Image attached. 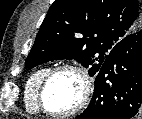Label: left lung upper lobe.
Instances as JSON below:
<instances>
[{
  "instance_id": "left-lung-upper-lobe-1",
  "label": "left lung upper lobe",
  "mask_w": 142,
  "mask_h": 119,
  "mask_svg": "<svg viewBox=\"0 0 142 119\" xmlns=\"http://www.w3.org/2000/svg\"><path fill=\"white\" fill-rule=\"evenodd\" d=\"M142 26L137 0H55L27 56L32 68L75 59L96 76L110 50Z\"/></svg>"
}]
</instances>
